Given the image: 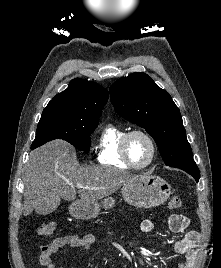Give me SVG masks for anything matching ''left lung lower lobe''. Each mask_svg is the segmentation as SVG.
Segmentation results:
<instances>
[{"label": "left lung lower lobe", "instance_id": "left-lung-lower-lobe-1", "mask_svg": "<svg viewBox=\"0 0 221 268\" xmlns=\"http://www.w3.org/2000/svg\"><path fill=\"white\" fill-rule=\"evenodd\" d=\"M178 168L186 171L187 173H189L190 175H192L195 180L198 182L199 178H200V174H199V169L197 167V165H184V166H179Z\"/></svg>", "mask_w": 221, "mask_h": 268}]
</instances>
